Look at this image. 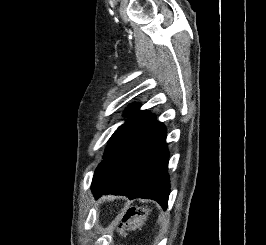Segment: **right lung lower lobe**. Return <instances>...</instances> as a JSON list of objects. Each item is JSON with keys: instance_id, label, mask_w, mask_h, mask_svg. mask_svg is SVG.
Listing matches in <instances>:
<instances>
[{"instance_id": "right-lung-lower-lobe-1", "label": "right lung lower lobe", "mask_w": 266, "mask_h": 245, "mask_svg": "<svg viewBox=\"0 0 266 245\" xmlns=\"http://www.w3.org/2000/svg\"><path fill=\"white\" fill-rule=\"evenodd\" d=\"M165 138L162 123L145 124L98 165L92 181L94 195L153 199L166 210L170 181Z\"/></svg>"}]
</instances>
